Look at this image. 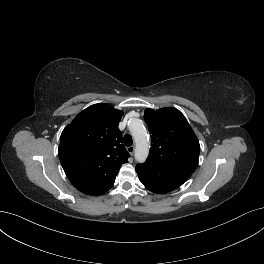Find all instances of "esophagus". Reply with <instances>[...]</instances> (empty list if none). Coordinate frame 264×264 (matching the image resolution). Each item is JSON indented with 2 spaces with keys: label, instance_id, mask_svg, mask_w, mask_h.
Returning <instances> with one entry per match:
<instances>
[{
  "label": "esophagus",
  "instance_id": "34e87169",
  "mask_svg": "<svg viewBox=\"0 0 264 264\" xmlns=\"http://www.w3.org/2000/svg\"><path fill=\"white\" fill-rule=\"evenodd\" d=\"M127 151L131 154V155H133L134 154V151H135V146H129V147H127Z\"/></svg>",
  "mask_w": 264,
  "mask_h": 264
}]
</instances>
